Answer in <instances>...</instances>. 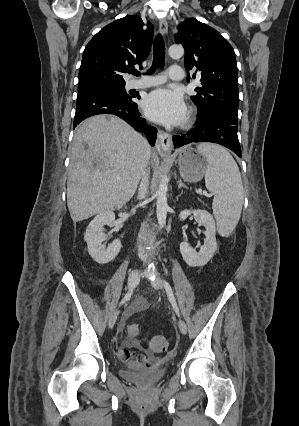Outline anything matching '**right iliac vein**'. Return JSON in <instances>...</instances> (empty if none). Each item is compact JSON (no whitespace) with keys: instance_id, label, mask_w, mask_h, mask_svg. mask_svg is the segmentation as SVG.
Wrapping results in <instances>:
<instances>
[{"instance_id":"obj_1","label":"right iliac vein","mask_w":299,"mask_h":426,"mask_svg":"<svg viewBox=\"0 0 299 426\" xmlns=\"http://www.w3.org/2000/svg\"><path fill=\"white\" fill-rule=\"evenodd\" d=\"M139 280H140V277H139L138 271L137 270L132 271L129 274V277H128V289L129 290L134 289L138 285ZM118 314H119L118 310H114L111 313V315L109 317V321H108V327L109 328H112L114 326V324L117 320Z\"/></svg>"}]
</instances>
